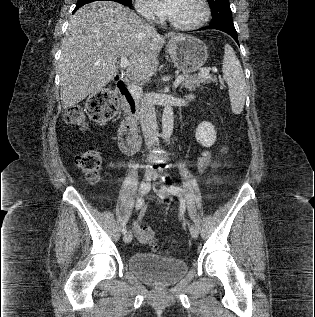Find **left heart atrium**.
Instances as JSON below:
<instances>
[{"mask_svg": "<svg viewBox=\"0 0 315 317\" xmlns=\"http://www.w3.org/2000/svg\"><path fill=\"white\" fill-rule=\"evenodd\" d=\"M179 0H150L153 9L157 14L164 17H171Z\"/></svg>", "mask_w": 315, "mask_h": 317, "instance_id": "obj_1", "label": "left heart atrium"}]
</instances>
